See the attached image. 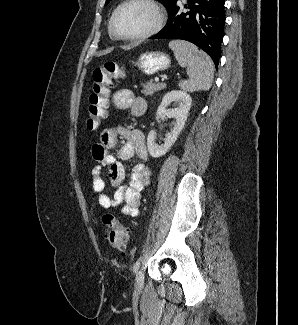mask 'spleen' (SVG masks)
<instances>
[{"label": "spleen", "mask_w": 298, "mask_h": 325, "mask_svg": "<svg viewBox=\"0 0 298 325\" xmlns=\"http://www.w3.org/2000/svg\"><path fill=\"white\" fill-rule=\"evenodd\" d=\"M169 48L173 50L180 66H185L189 76L187 80L178 82L180 88L184 92L209 90L214 78L213 60L210 56L187 40H170Z\"/></svg>", "instance_id": "3e777b00"}]
</instances>
